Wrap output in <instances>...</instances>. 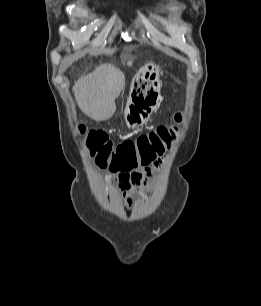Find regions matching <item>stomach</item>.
Masks as SVG:
<instances>
[{"instance_id":"obj_1","label":"stomach","mask_w":261,"mask_h":306,"mask_svg":"<svg viewBox=\"0 0 261 306\" xmlns=\"http://www.w3.org/2000/svg\"><path fill=\"white\" fill-rule=\"evenodd\" d=\"M146 70L149 71L147 79L141 83L138 79L133 82L125 107L126 123L133 129L141 127L148 120L161 97L160 68L150 63Z\"/></svg>"}]
</instances>
